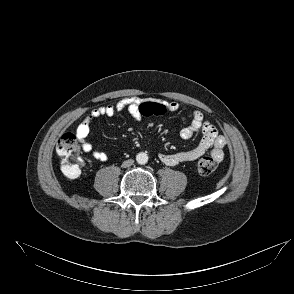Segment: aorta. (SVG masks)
<instances>
[{
	"mask_svg": "<svg viewBox=\"0 0 294 294\" xmlns=\"http://www.w3.org/2000/svg\"><path fill=\"white\" fill-rule=\"evenodd\" d=\"M136 161L138 164L144 165L148 162V155L144 152H139L136 155Z\"/></svg>",
	"mask_w": 294,
	"mask_h": 294,
	"instance_id": "obj_1",
	"label": "aorta"
}]
</instances>
